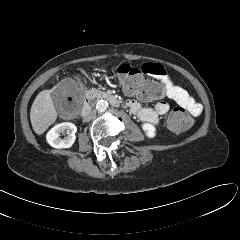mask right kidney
<instances>
[{
	"label": "right kidney",
	"instance_id": "1",
	"mask_svg": "<svg viewBox=\"0 0 240 240\" xmlns=\"http://www.w3.org/2000/svg\"><path fill=\"white\" fill-rule=\"evenodd\" d=\"M64 131L68 132V136L64 139L60 138V133ZM77 127L70 122H64L55 125L46 135L47 142L54 148L62 149L69 148L73 145L76 140L75 133Z\"/></svg>",
	"mask_w": 240,
	"mask_h": 240
}]
</instances>
